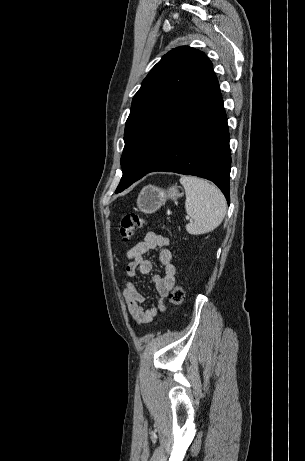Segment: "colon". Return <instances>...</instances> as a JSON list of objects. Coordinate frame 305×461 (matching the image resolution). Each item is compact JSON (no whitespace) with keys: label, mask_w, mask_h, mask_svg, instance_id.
<instances>
[{"label":"colon","mask_w":305,"mask_h":461,"mask_svg":"<svg viewBox=\"0 0 305 461\" xmlns=\"http://www.w3.org/2000/svg\"><path fill=\"white\" fill-rule=\"evenodd\" d=\"M147 221L136 213L125 214L120 222L119 235L124 243H128L133 238L135 232L144 227ZM170 301L175 306H180L185 298V290L182 285L174 286L169 295Z\"/></svg>","instance_id":"colon-1"}]
</instances>
